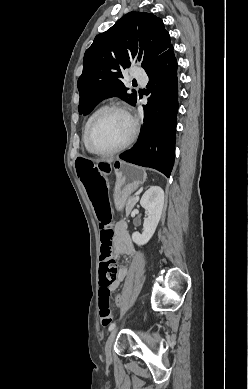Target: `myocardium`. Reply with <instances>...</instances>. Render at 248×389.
Masks as SVG:
<instances>
[{
    "label": "myocardium",
    "instance_id": "1",
    "mask_svg": "<svg viewBox=\"0 0 248 389\" xmlns=\"http://www.w3.org/2000/svg\"><path fill=\"white\" fill-rule=\"evenodd\" d=\"M109 112H119V113L125 115L131 123V133H130L129 137L126 139V141L124 143H122L121 145H119L118 147H116L112 150H109V151H98V150L93 149L90 145L91 131H92L93 127L95 126V124L97 123V121L102 116H104L105 114H107ZM138 132H139L138 121L130 113V111L123 105L110 104V105H107V106H104L103 108H101L95 114V116L92 118V120L90 121L88 128H87V131H86L85 143H86V147H87L88 151L93 153V154H96L98 156H112V155H115V154L125 150L126 148H128L137 138Z\"/></svg>",
    "mask_w": 248,
    "mask_h": 389
}]
</instances>
